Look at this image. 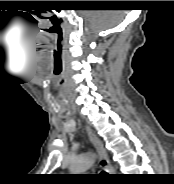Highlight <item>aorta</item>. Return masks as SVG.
<instances>
[{"instance_id": "obj_1", "label": "aorta", "mask_w": 174, "mask_h": 184, "mask_svg": "<svg viewBox=\"0 0 174 184\" xmlns=\"http://www.w3.org/2000/svg\"><path fill=\"white\" fill-rule=\"evenodd\" d=\"M94 157L92 154H86L75 158L70 165V171L73 174H81L85 172L93 163Z\"/></svg>"}]
</instances>
